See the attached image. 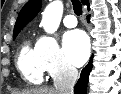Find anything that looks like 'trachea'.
<instances>
[{
	"mask_svg": "<svg viewBox=\"0 0 121 94\" xmlns=\"http://www.w3.org/2000/svg\"><path fill=\"white\" fill-rule=\"evenodd\" d=\"M73 9L77 16L82 14V4L79 0H72Z\"/></svg>",
	"mask_w": 121,
	"mask_h": 94,
	"instance_id": "3493384b",
	"label": "trachea"
}]
</instances>
